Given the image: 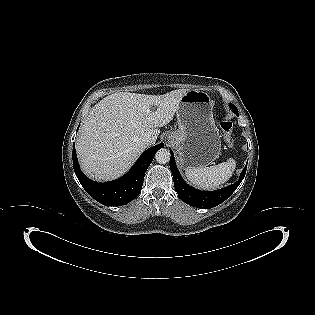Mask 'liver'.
Segmentation results:
<instances>
[{
	"label": "liver",
	"mask_w": 315,
	"mask_h": 315,
	"mask_svg": "<svg viewBox=\"0 0 315 315\" xmlns=\"http://www.w3.org/2000/svg\"><path fill=\"white\" fill-rule=\"evenodd\" d=\"M187 92L186 89L164 95L118 92L103 98L83 121L76 142L83 172L99 181L123 175L147 148L142 138L149 135L157 140L158 128L173 119Z\"/></svg>",
	"instance_id": "1"
}]
</instances>
